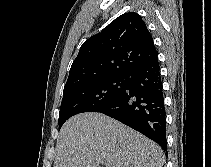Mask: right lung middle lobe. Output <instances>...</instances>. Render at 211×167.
I'll use <instances>...</instances> for the list:
<instances>
[{
    "label": "right lung middle lobe",
    "mask_w": 211,
    "mask_h": 167,
    "mask_svg": "<svg viewBox=\"0 0 211 167\" xmlns=\"http://www.w3.org/2000/svg\"><path fill=\"white\" fill-rule=\"evenodd\" d=\"M125 76H106L66 88L59 112V129L71 116L82 112H95L123 92Z\"/></svg>",
    "instance_id": "dd1d6c3e"
}]
</instances>
